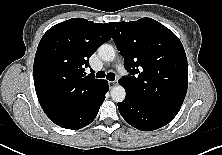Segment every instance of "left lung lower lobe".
<instances>
[{"mask_svg": "<svg viewBox=\"0 0 222 155\" xmlns=\"http://www.w3.org/2000/svg\"><path fill=\"white\" fill-rule=\"evenodd\" d=\"M121 116L131 126L143 131H152L168 124L178 113L177 110L157 105L126 93L118 103Z\"/></svg>", "mask_w": 222, "mask_h": 155, "instance_id": "1", "label": "left lung lower lobe"}]
</instances>
